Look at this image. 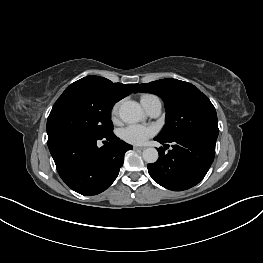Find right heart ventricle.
<instances>
[{
	"label": "right heart ventricle",
	"mask_w": 263,
	"mask_h": 263,
	"mask_svg": "<svg viewBox=\"0 0 263 263\" xmlns=\"http://www.w3.org/2000/svg\"><path fill=\"white\" fill-rule=\"evenodd\" d=\"M149 96H151V95H148V94L143 95V96L141 97V100H143V99H145V98H147V97H149Z\"/></svg>",
	"instance_id": "e07e8e85"
}]
</instances>
